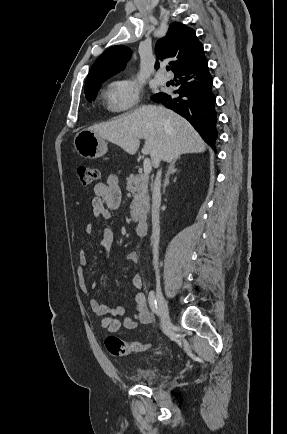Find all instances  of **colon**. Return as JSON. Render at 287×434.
Segmentation results:
<instances>
[{
	"instance_id": "colon-1",
	"label": "colon",
	"mask_w": 287,
	"mask_h": 434,
	"mask_svg": "<svg viewBox=\"0 0 287 434\" xmlns=\"http://www.w3.org/2000/svg\"><path fill=\"white\" fill-rule=\"evenodd\" d=\"M76 173L79 181L83 185H90L98 181L100 172L98 168L77 166ZM105 346L109 353L115 357H123L133 352H140L146 350L149 345L139 342H126L117 336L110 335L105 339Z\"/></svg>"
}]
</instances>
